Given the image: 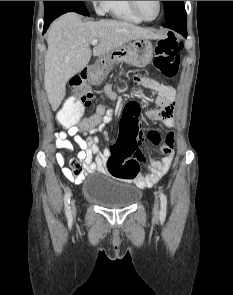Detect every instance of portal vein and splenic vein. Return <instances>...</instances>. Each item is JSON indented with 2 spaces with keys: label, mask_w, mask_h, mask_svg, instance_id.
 Here are the masks:
<instances>
[{
  "label": "portal vein and splenic vein",
  "mask_w": 233,
  "mask_h": 295,
  "mask_svg": "<svg viewBox=\"0 0 233 295\" xmlns=\"http://www.w3.org/2000/svg\"><path fill=\"white\" fill-rule=\"evenodd\" d=\"M97 43H98V40L97 39H94V40L91 41V44L92 45H97Z\"/></svg>",
  "instance_id": "portal-vein-and-splenic-vein-1"
}]
</instances>
